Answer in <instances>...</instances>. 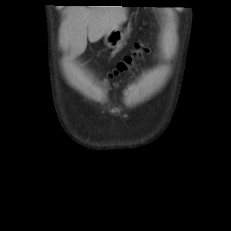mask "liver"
Listing matches in <instances>:
<instances>
[{
    "instance_id": "liver-1",
    "label": "liver",
    "mask_w": 231,
    "mask_h": 231,
    "mask_svg": "<svg viewBox=\"0 0 231 231\" xmlns=\"http://www.w3.org/2000/svg\"><path fill=\"white\" fill-rule=\"evenodd\" d=\"M62 28L61 45L73 54H81L91 43L119 28L127 20L126 10L119 6L87 8L73 6L66 12Z\"/></svg>"
}]
</instances>
